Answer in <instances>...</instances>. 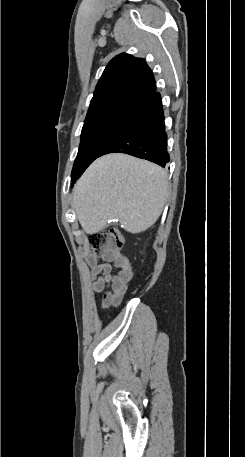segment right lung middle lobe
<instances>
[{"instance_id":"dd1d6c3e","label":"right lung middle lobe","mask_w":245,"mask_h":457,"mask_svg":"<svg viewBox=\"0 0 245 457\" xmlns=\"http://www.w3.org/2000/svg\"><path fill=\"white\" fill-rule=\"evenodd\" d=\"M129 110L87 113L82 128L79 151L72 169V186L98 156L121 125Z\"/></svg>"}]
</instances>
